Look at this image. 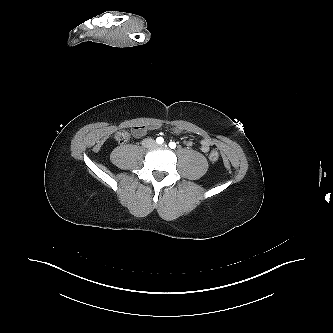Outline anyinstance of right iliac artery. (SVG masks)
Masks as SVG:
<instances>
[{"instance_id":"obj_1","label":"right iliac artery","mask_w":333,"mask_h":333,"mask_svg":"<svg viewBox=\"0 0 333 333\" xmlns=\"http://www.w3.org/2000/svg\"><path fill=\"white\" fill-rule=\"evenodd\" d=\"M164 142V139L162 138V137H158L157 139H156V143L157 144H162Z\"/></svg>"}]
</instances>
